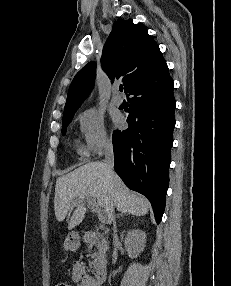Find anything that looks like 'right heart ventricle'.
Returning <instances> with one entry per match:
<instances>
[{
    "label": "right heart ventricle",
    "instance_id": "e07e8e85",
    "mask_svg": "<svg viewBox=\"0 0 231 286\" xmlns=\"http://www.w3.org/2000/svg\"><path fill=\"white\" fill-rule=\"evenodd\" d=\"M78 153H79L80 155H82V156L85 155V152H84L81 148L78 149Z\"/></svg>",
    "mask_w": 231,
    "mask_h": 286
}]
</instances>
